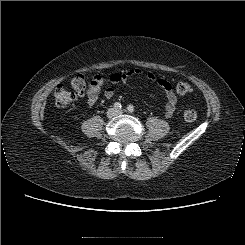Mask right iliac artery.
Returning a JSON list of instances; mask_svg holds the SVG:
<instances>
[{"mask_svg":"<svg viewBox=\"0 0 245 245\" xmlns=\"http://www.w3.org/2000/svg\"><path fill=\"white\" fill-rule=\"evenodd\" d=\"M114 108L117 109V110L121 109V108H122L121 103L116 102V103L114 104Z\"/></svg>","mask_w":245,"mask_h":245,"instance_id":"obj_1","label":"right iliac artery"}]
</instances>
